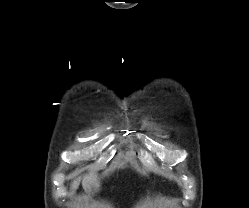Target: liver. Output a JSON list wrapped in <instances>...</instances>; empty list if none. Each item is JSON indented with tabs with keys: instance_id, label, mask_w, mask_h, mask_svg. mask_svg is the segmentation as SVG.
I'll return each mask as SVG.
<instances>
[{
	"instance_id": "obj_1",
	"label": "liver",
	"mask_w": 249,
	"mask_h": 208,
	"mask_svg": "<svg viewBox=\"0 0 249 208\" xmlns=\"http://www.w3.org/2000/svg\"><path fill=\"white\" fill-rule=\"evenodd\" d=\"M81 180H82V186L85 190L90 189L92 185L98 186L96 173L90 172V173L84 175L83 177H78L72 181L71 190L73 192L78 189Z\"/></svg>"
}]
</instances>
